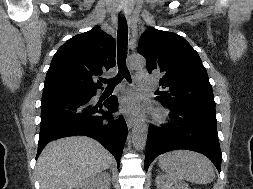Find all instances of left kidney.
I'll use <instances>...</instances> for the list:
<instances>
[{"instance_id":"obj_1","label":"left kidney","mask_w":253,"mask_h":189,"mask_svg":"<svg viewBox=\"0 0 253 189\" xmlns=\"http://www.w3.org/2000/svg\"><path fill=\"white\" fill-rule=\"evenodd\" d=\"M156 186L157 189H190L187 183L174 180L164 174H160L156 177Z\"/></svg>"}]
</instances>
